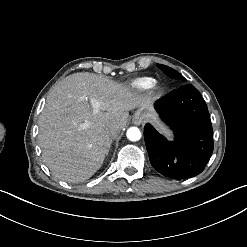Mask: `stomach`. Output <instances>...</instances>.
<instances>
[{
	"label": "stomach",
	"mask_w": 247,
	"mask_h": 247,
	"mask_svg": "<svg viewBox=\"0 0 247 247\" xmlns=\"http://www.w3.org/2000/svg\"><path fill=\"white\" fill-rule=\"evenodd\" d=\"M144 121L153 122L162 133L169 132V130L158 120L153 101L151 100L145 105L140 106L132 117V122L134 124H141Z\"/></svg>",
	"instance_id": "0dacf381"
}]
</instances>
